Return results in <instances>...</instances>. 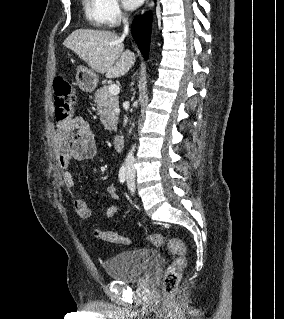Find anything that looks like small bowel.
Segmentation results:
<instances>
[{
    "mask_svg": "<svg viewBox=\"0 0 284 319\" xmlns=\"http://www.w3.org/2000/svg\"><path fill=\"white\" fill-rule=\"evenodd\" d=\"M54 144L63 182L72 190L74 188V178L70 170L71 162L90 160L96 156L97 146L94 135L85 119L74 117L66 122L56 124ZM107 191L113 199L118 198L115 185H109ZM73 206L76 214L81 219H92L91 209L85 200L75 199ZM118 209L117 205H111L106 210V217L114 218Z\"/></svg>",
    "mask_w": 284,
    "mask_h": 319,
    "instance_id": "small-bowel-1",
    "label": "small bowel"
}]
</instances>
